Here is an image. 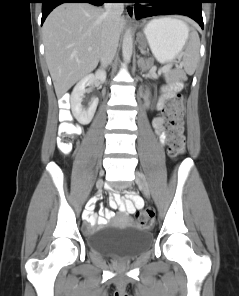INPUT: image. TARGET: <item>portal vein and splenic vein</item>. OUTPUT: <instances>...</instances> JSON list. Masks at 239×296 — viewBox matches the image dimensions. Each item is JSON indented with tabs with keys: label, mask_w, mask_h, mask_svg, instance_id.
Here are the masks:
<instances>
[{
	"label": "portal vein and splenic vein",
	"mask_w": 239,
	"mask_h": 296,
	"mask_svg": "<svg viewBox=\"0 0 239 296\" xmlns=\"http://www.w3.org/2000/svg\"><path fill=\"white\" fill-rule=\"evenodd\" d=\"M89 50H91V48H89ZM163 69L168 70L170 69V66H164Z\"/></svg>",
	"instance_id": "1"
}]
</instances>
